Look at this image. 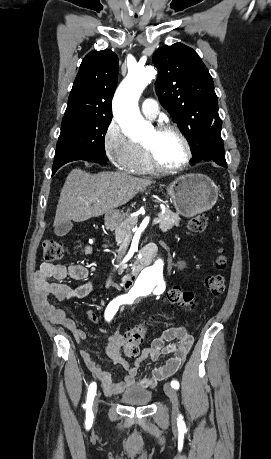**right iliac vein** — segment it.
I'll list each match as a JSON object with an SVG mask.
<instances>
[{"mask_svg":"<svg viewBox=\"0 0 271 459\" xmlns=\"http://www.w3.org/2000/svg\"><path fill=\"white\" fill-rule=\"evenodd\" d=\"M98 400H99V396H97V397L95 398V401H94L93 406H92V413H93V415H96V414H97L98 402H99Z\"/></svg>","mask_w":271,"mask_h":459,"instance_id":"63e3f726","label":"right iliac vein"}]
</instances>
